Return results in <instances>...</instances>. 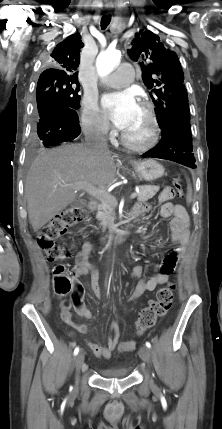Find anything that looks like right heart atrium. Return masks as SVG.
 <instances>
[{"label": "right heart atrium", "instance_id": "1", "mask_svg": "<svg viewBox=\"0 0 222 429\" xmlns=\"http://www.w3.org/2000/svg\"><path fill=\"white\" fill-rule=\"evenodd\" d=\"M81 125L85 133L92 136L103 137L109 132V124L93 97L86 96L82 101Z\"/></svg>", "mask_w": 222, "mask_h": 429}]
</instances>
